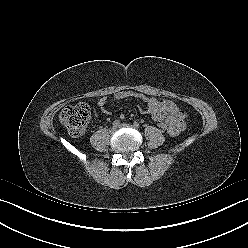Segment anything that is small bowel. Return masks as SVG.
<instances>
[{
    "mask_svg": "<svg viewBox=\"0 0 248 248\" xmlns=\"http://www.w3.org/2000/svg\"><path fill=\"white\" fill-rule=\"evenodd\" d=\"M128 98H136L145 102L146 108H141L140 112L149 114L156 122L165 121L169 125L171 135H177L185 128L186 113L179 109L173 101L167 99L158 100L133 90H121L113 95V99L116 101ZM106 103V97H102L98 101V105L104 113H107Z\"/></svg>",
    "mask_w": 248,
    "mask_h": 248,
    "instance_id": "c3829d8e",
    "label": "small bowel"
}]
</instances>
